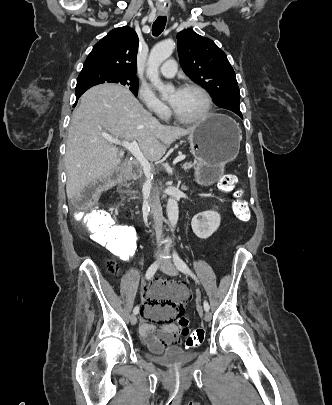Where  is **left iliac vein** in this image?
<instances>
[{"label":"left iliac vein","instance_id":"4c4485c4","mask_svg":"<svg viewBox=\"0 0 332 405\" xmlns=\"http://www.w3.org/2000/svg\"><path fill=\"white\" fill-rule=\"evenodd\" d=\"M161 269L168 275L176 276L178 274L177 267L171 262L169 258H166L161 263ZM212 319V315L210 312L206 311L204 314V320L209 322Z\"/></svg>","mask_w":332,"mask_h":405}]
</instances>
